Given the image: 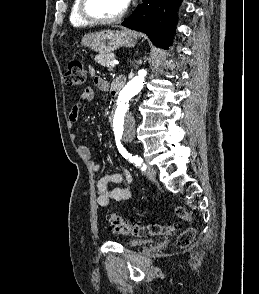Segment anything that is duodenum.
<instances>
[{
	"instance_id": "1",
	"label": "duodenum",
	"mask_w": 259,
	"mask_h": 294,
	"mask_svg": "<svg viewBox=\"0 0 259 294\" xmlns=\"http://www.w3.org/2000/svg\"><path fill=\"white\" fill-rule=\"evenodd\" d=\"M123 84H124V78L123 77L117 78L114 81L113 89H114L115 93H117L121 89Z\"/></svg>"
}]
</instances>
